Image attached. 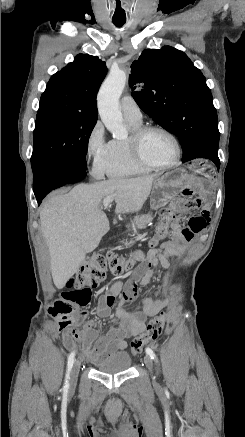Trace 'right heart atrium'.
I'll use <instances>...</instances> for the list:
<instances>
[{"mask_svg": "<svg viewBox=\"0 0 245 437\" xmlns=\"http://www.w3.org/2000/svg\"><path fill=\"white\" fill-rule=\"evenodd\" d=\"M110 141L106 139L103 124L97 121L90 130L85 146V154L93 175L102 176L108 159Z\"/></svg>", "mask_w": 245, "mask_h": 437, "instance_id": "1", "label": "right heart atrium"}]
</instances>
